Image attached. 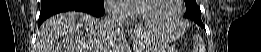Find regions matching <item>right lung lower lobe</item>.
<instances>
[{"mask_svg":"<svg viewBox=\"0 0 261 52\" xmlns=\"http://www.w3.org/2000/svg\"><path fill=\"white\" fill-rule=\"evenodd\" d=\"M104 3L84 0H41L39 25L48 17L65 11L75 10L100 17L104 14Z\"/></svg>","mask_w":261,"mask_h":52,"instance_id":"obj_1","label":"right lung lower lobe"}]
</instances>
